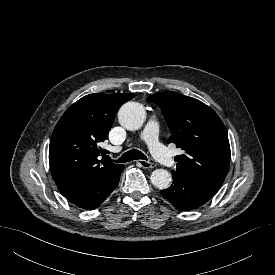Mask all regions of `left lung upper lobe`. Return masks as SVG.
Segmentation results:
<instances>
[{
    "instance_id": "obj_1",
    "label": "left lung upper lobe",
    "mask_w": 275,
    "mask_h": 275,
    "mask_svg": "<svg viewBox=\"0 0 275 275\" xmlns=\"http://www.w3.org/2000/svg\"><path fill=\"white\" fill-rule=\"evenodd\" d=\"M148 100L157 104L175 143L184 154L175 157L177 173L205 181L220 188L230 164V145L226 128L209 106L192 97L171 91L155 93Z\"/></svg>"
}]
</instances>
